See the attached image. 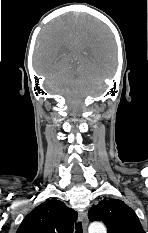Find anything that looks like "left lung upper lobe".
<instances>
[{"mask_svg": "<svg viewBox=\"0 0 148 233\" xmlns=\"http://www.w3.org/2000/svg\"><path fill=\"white\" fill-rule=\"evenodd\" d=\"M90 221H101L108 233H145L136 213L118 199L102 200L88 212Z\"/></svg>", "mask_w": 148, "mask_h": 233, "instance_id": "left-lung-upper-lobe-1", "label": "left lung upper lobe"}]
</instances>
